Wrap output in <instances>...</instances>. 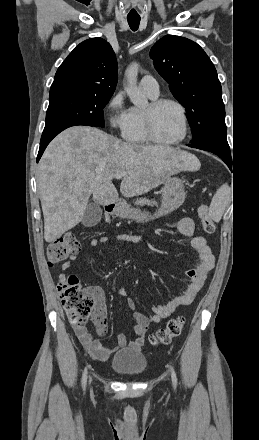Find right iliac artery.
I'll list each match as a JSON object with an SVG mask.
<instances>
[{
    "label": "right iliac artery",
    "instance_id": "obj_1",
    "mask_svg": "<svg viewBox=\"0 0 259 440\" xmlns=\"http://www.w3.org/2000/svg\"><path fill=\"white\" fill-rule=\"evenodd\" d=\"M87 381V368L84 369L83 376H82V386L85 388Z\"/></svg>",
    "mask_w": 259,
    "mask_h": 440
}]
</instances>
